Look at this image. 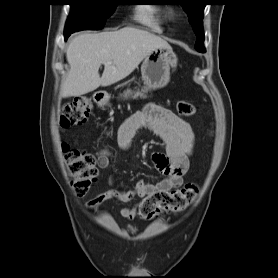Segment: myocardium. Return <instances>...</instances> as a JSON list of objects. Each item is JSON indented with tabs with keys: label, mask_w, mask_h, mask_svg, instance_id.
I'll return each mask as SVG.
<instances>
[{
	"label": "myocardium",
	"mask_w": 278,
	"mask_h": 278,
	"mask_svg": "<svg viewBox=\"0 0 278 278\" xmlns=\"http://www.w3.org/2000/svg\"><path fill=\"white\" fill-rule=\"evenodd\" d=\"M177 15H178V11L176 9H174V8L168 9L167 16L169 18H175V17H177Z\"/></svg>",
	"instance_id": "obj_1"
}]
</instances>
